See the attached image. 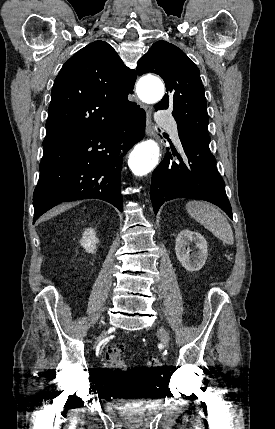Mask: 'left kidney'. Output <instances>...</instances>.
<instances>
[{
  "label": "left kidney",
  "mask_w": 275,
  "mask_h": 429,
  "mask_svg": "<svg viewBox=\"0 0 275 429\" xmlns=\"http://www.w3.org/2000/svg\"><path fill=\"white\" fill-rule=\"evenodd\" d=\"M192 242L196 244L197 252L190 253L191 250L187 248ZM175 252L184 269L190 272L199 271L208 256L207 241L198 232L182 230L176 238Z\"/></svg>",
  "instance_id": "5707ae66"
}]
</instances>
